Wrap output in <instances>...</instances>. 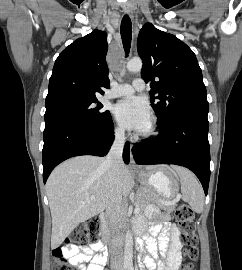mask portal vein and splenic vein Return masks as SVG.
Instances as JSON below:
<instances>
[{
    "mask_svg": "<svg viewBox=\"0 0 242 270\" xmlns=\"http://www.w3.org/2000/svg\"><path fill=\"white\" fill-rule=\"evenodd\" d=\"M181 198V195H177L175 199H173L172 201H166L164 202L165 204H175L176 202H178ZM134 212L135 213H138L140 212V208L137 206L135 209H134Z\"/></svg>",
    "mask_w": 242,
    "mask_h": 270,
    "instance_id": "18ae733b",
    "label": "portal vein and splenic vein"
}]
</instances>
